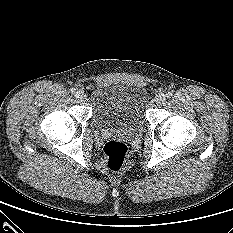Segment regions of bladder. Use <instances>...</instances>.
Segmentation results:
<instances>
[{
    "label": "bladder",
    "mask_w": 233,
    "mask_h": 233,
    "mask_svg": "<svg viewBox=\"0 0 233 233\" xmlns=\"http://www.w3.org/2000/svg\"><path fill=\"white\" fill-rule=\"evenodd\" d=\"M90 100L95 129L139 131L146 123L148 95L144 88L122 83L96 85Z\"/></svg>",
    "instance_id": "1"
}]
</instances>
